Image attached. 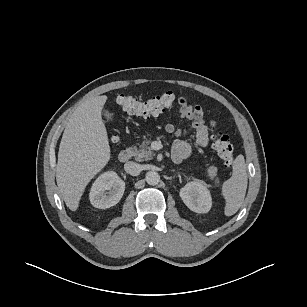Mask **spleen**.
I'll list each match as a JSON object with an SVG mask.
<instances>
[{"mask_svg":"<svg viewBox=\"0 0 307 307\" xmlns=\"http://www.w3.org/2000/svg\"><path fill=\"white\" fill-rule=\"evenodd\" d=\"M247 183L248 177L245 159L240 154L233 162L231 178L225 181L222 186V195L226 201L224 208V214L226 216H232L239 210L245 198Z\"/></svg>","mask_w":307,"mask_h":307,"instance_id":"3e777b00","label":"spleen"}]
</instances>
